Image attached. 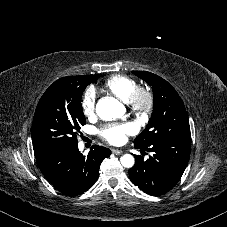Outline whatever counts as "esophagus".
<instances>
[{
    "mask_svg": "<svg viewBox=\"0 0 227 227\" xmlns=\"http://www.w3.org/2000/svg\"><path fill=\"white\" fill-rule=\"evenodd\" d=\"M112 153H114V154H122L123 153V151L122 150H119V149H112Z\"/></svg>",
    "mask_w": 227,
    "mask_h": 227,
    "instance_id": "1",
    "label": "esophagus"
}]
</instances>
